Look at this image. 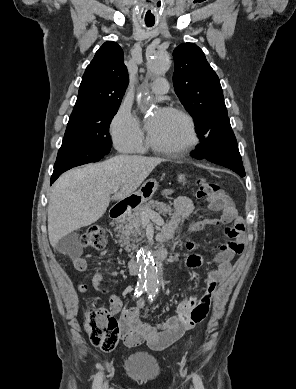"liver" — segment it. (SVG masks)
Instances as JSON below:
<instances>
[{
    "label": "liver",
    "instance_id": "obj_1",
    "mask_svg": "<svg viewBox=\"0 0 296 389\" xmlns=\"http://www.w3.org/2000/svg\"><path fill=\"white\" fill-rule=\"evenodd\" d=\"M163 161L119 155L63 174L52 187L47 209L51 246L55 248L63 236L95 223L106 212L111 194L114 200L130 196Z\"/></svg>",
    "mask_w": 296,
    "mask_h": 389
}]
</instances>
